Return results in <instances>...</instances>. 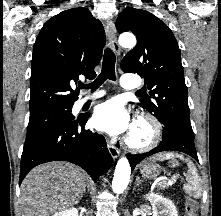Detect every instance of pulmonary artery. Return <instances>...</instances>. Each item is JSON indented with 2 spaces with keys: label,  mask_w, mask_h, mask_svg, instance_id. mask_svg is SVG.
<instances>
[{
  "label": "pulmonary artery",
  "mask_w": 221,
  "mask_h": 216,
  "mask_svg": "<svg viewBox=\"0 0 221 216\" xmlns=\"http://www.w3.org/2000/svg\"><path fill=\"white\" fill-rule=\"evenodd\" d=\"M120 84L123 88L128 89V90L136 89L140 86V82L135 77H132L129 75H124L120 80ZM104 95H105V91L98 90V91L94 92L93 94H90V95L80 98L76 102V107L80 108L84 104H86L90 101L99 99V98L103 97Z\"/></svg>",
  "instance_id": "e3ab8cb5"
}]
</instances>
